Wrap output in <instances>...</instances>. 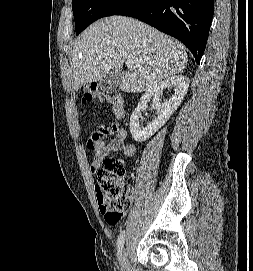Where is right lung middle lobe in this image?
Listing matches in <instances>:
<instances>
[{
	"instance_id": "right-lung-middle-lobe-1",
	"label": "right lung middle lobe",
	"mask_w": 253,
	"mask_h": 271,
	"mask_svg": "<svg viewBox=\"0 0 253 271\" xmlns=\"http://www.w3.org/2000/svg\"><path fill=\"white\" fill-rule=\"evenodd\" d=\"M126 0H72L76 34L99 18L113 15Z\"/></svg>"
}]
</instances>
